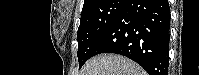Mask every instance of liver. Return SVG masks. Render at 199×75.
<instances>
[{"instance_id":"obj_1","label":"liver","mask_w":199,"mask_h":75,"mask_svg":"<svg viewBox=\"0 0 199 75\" xmlns=\"http://www.w3.org/2000/svg\"><path fill=\"white\" fill-rule=\"evenodd\" d=\"M80 75H146V72L124 56L101 54L88 60Z\"/></svg>"}]
</instances>
